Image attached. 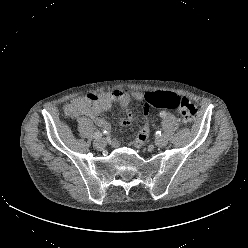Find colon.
I'll list each match as a JSON object with an SVG mask.
<instances>
[{
	"label": "colon",
	"instance_id": "1",
	"mask_svg": "<svg viewBox=\"0 0 248 248\" xmlns=\"http://www.w3.org/2000/svg\"><path fill=\"white\" fill-rule=\"evenodd\" d=\"M144 111L147 115L151 108H162L178 111L184 122H192L198 114L197 107L185 97L170 92L147 93L143 97ZM149 139V124L145 119L135 140L137 147H142Z\"/></svg>",
	"mask_w": 248,
	"mask_h": 248
}]
</instances>
